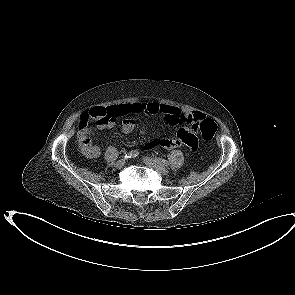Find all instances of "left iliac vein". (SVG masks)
Here are the masks:
<instances>
[{
	"label": "left iliac vein",
	"mask_w": 295,
	"mask_h": 295,
	"mask_svg": "<svg viewBox=\"0 0 295 295\" xmlns=\"http://www.w3.org/2000/svg\"><path fill=\"white\" fill-rule=\"evenodd\" d=\"M143 162L151 167V168H154L156 169L158 172L162 173V174H167L168 173V169L164 166V165H161L159 164L156 160H154L153 158H150V157H144L143 158Z\"/></svg>",
	"instance_id": "obj_1"
}]
</instances>
